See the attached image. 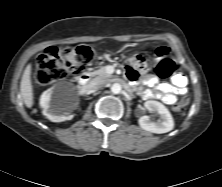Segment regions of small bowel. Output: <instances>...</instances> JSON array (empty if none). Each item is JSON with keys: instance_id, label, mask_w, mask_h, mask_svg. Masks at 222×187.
Listing matches in <instances>:
<instances>
[{"instance_id": "c3829d8e", "label": "small bowel", "mask_w": 222, "mask_h": 187, "mask_svg": "<svg viewBox=\"0 0 222 187\" xmlns=\"http://www.w3.org/2000/svg\"><path fill=\"white\" fill-rule=\"evenodd\" d=\"M126 77L132 82L137 80V71L132 61L126 65ZM143 82L148 87H155V90L141 91L144 99H158L167 105L175 104L178 96L187 92V78L183 74H175L172 83L160 82L155 76L146 74Z\"/></svg>"}]
</instances>
